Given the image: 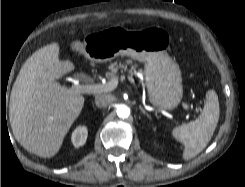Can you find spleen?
Returning <instances> with one entry per match:
<instances>
[{
    "label": "spleen",
    "mask_w": 245,
    "mask_h": 187,
    "mask_svg": "<svg viewBox=\"0 0 245 187\" xmlns=\"http://www.w3.org/2000/svg\"><path fill=\"white\" fill-rule=\"evenodd\" d=\"M219 114L218 96L214 90H209L202 114L195 121L172 130V136L184 145V160L197 156L207 146L216 129Z\"/></svg>",
    "instance_id": "spleen-1"
}]
</instances>
